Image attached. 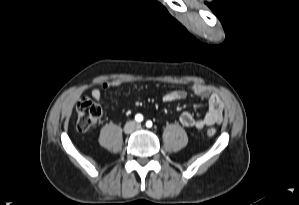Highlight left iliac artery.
<instances>
[{
    "label": "left iliac artery",
    "mask_w": 299,
    "mask_h": 205,
    "mask_svg": "<svg viewBox=\"0 0 299 205\" xmlns=\"http://www.w3.org/2000/svg\"><path fill=\"white\" fill-rule=\"evenodd\" d=\"M146 126H147L148 128L152 127V122H151V121H147V122H146Z\"/></svg>",
    "instance_id": "44dca946"
}]
</instances>
